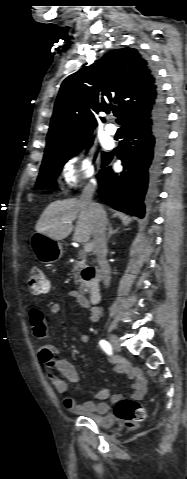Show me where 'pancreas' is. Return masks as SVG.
<instances>
[{"instance_id":"pancreas-1","label":"pancreas","mask_w":187,"mask_h":479,"mask_svg":"<svg viewBox=\"0 0 187 479\" xmlns=\"http://www.w3.org/2000/svg\"><path fill=\"white\" fill-rule=\"evenodd\" d=\"M80 261L74 265L73 274L77 282H80V290L85 291L90 287V283L81 277V271L87 267V258L85 254L80 255Z\"/></svg>"}]
</instances>
